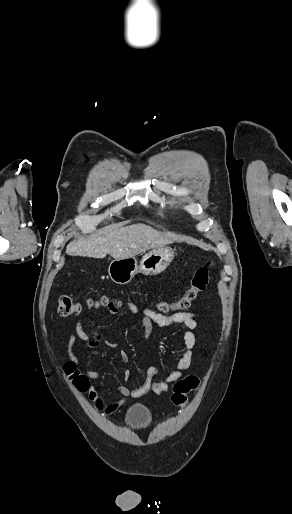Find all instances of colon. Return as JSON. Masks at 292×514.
Masks as SVG:
<instances>
[{
	"label": "colon",
	"mask_w": 292,
	"mask_h": 514,
	"mask_svg": "<svg viewBox=\"0 0 292 514\" xmlns=\"http://www.w3.org/2000/svg\"><path fill=\"white\" fill-rule=\"evenodd\" d=\"M211 264H207L198 268L190 283V287L186 292L182 294L180 299L177 302L167 303L161 302L160 309L161 311H168L170 309H179L186 310L191 304L197 299V297L205 291L211 275ZM58 307L59 314L64 317H70L77 315L82 310V304L76 300H74L71 296L63 294L58 298ZM118 305H115L114 308H117ZM65 374L70 378L71 382L75 386L76 389L80 391H86L88 389V379L87 376L80 373L77 369V366L74 362L68 361L63 366ZM199 374L198 373H185L182 376V379L175 382L173 390L174 394L172 400L175 404L185 405L188 401L185 398V395H190L192 393V388L196 387L199 384ZM100 401V398H98ZM100 408H102L100 404Z\"/></svg>",
	"instance_id": "5ec220e1"
}]
</instances>
